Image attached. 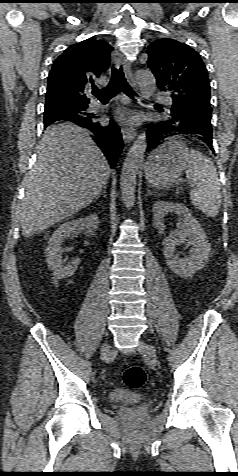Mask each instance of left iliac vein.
Returning a JSON list of instances; mask_svg holds the SVG:
<instances>
[{
	"label": "left iliac vein",
	"mask_w": 238,
	"mask_h": 476,
	"mask_svg": "<svg viewBox=\"0 0 238 476\" xmlns=\"http://www.w3.org/2000/svg\"><path fill=\"white\" fill-rule=\"evenodd\" d=\"M138 351L144 355L152 359L153 361L157 360V355H156V350L153 346L140 341L139 346H138Z\"/></svg>",
	"instance_id": "obj_1"
}]
</instances>
